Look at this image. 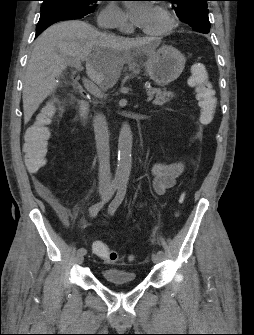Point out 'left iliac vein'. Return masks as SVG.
I'll return each instance as SVG.
<instances>
[{
  "instance_id": "4c4485c4",
  "label": "left iliac vein",
  "mask_w": 254,
  "mask_h": 335,
  "mask_svg": "<svg viewBox=\"0 0 254 335\" xmlns=\"http://www.w3.org/2000/svg\"><path fill=\"white\" fill-rule=\"evenodd\" d=\"M151 259L153 263H159L161 261V257L157 254H152Z\"/></svg>"
}]
</instances>
